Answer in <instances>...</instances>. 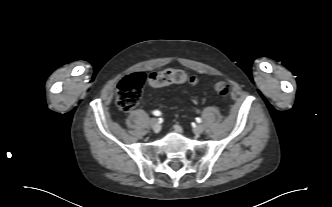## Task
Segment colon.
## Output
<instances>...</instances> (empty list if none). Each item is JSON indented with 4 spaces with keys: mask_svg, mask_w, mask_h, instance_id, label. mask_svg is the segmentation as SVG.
<instances>
[{
    "mask_svg": "<svg viewBox=\"0 0 332 207\" xmlns=\"http://www.w3.org/2000/svg\"><path fill=\"white\" fill-rule=\"evenodd\" d=\"M146 79L150 86L154 88L172 84L194 83L196 81L194 76L172 68L151 73L148 77L143 72L132 73L121 79L118 84L116 102L122 111H129L135 106L141 96ZM214 90L219 95L226 96L229 94L230 85L225 81H219L215 83Z\"/></svg>",
    "mask_w": 332,
    "mask_h": 207,
    "instance_id": "colon-1",
    "label": "colon"
}]
</instances>
